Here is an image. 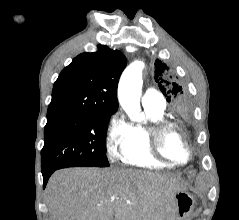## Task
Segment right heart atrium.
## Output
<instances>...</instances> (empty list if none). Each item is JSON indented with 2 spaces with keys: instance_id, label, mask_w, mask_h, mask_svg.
<instances>
[{
  "instance_id": "right-heart-atrium-1",
  "label": "right heart atrium",
  "mask_w": 239,
  "mask_h": 220,
  "mask_svg": "<svg viewBox=\"0 0 239 220\" xmlns=\"http://www.w3.org/2000/svg\"><path fill=\"white\" fill-rule=\"evenodd\" d=\"M130 134V124L125 120L121 110L117 109L110 116L105 133V145L108 154L117 158L118 151Z\"/></svg>"
}]
</instances>
